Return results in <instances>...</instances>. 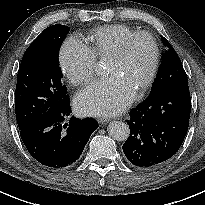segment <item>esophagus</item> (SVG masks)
Wrapping results in <instances>:
<instances>
[{
	"instance_id": "obj_1",
	"label": "esophagus",
	"mask_w": 205,
	"mask_h": 205,
	"mask_svg": "<svg viewBox=\"0 0 205 205\" xmlns=\"http://www.w3.org/2000/svg\"><path fill=\"white\" fill-rule=\"evenodd\" d=\"M96 120H97V122H98L99 124H103V123L109 121L108 119H105V118H102V117H98Z\"/></svg>"
}]
</instances>
